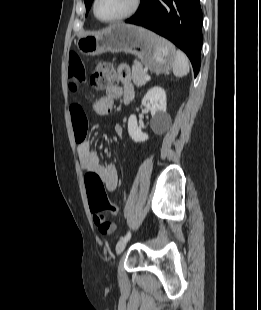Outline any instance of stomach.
I'll return each instance as SVG.
<instances>
[{
	"instance_id": "stomach-1",
	"label": "stomach",
	"mask_w": 261,
	"mask_h": 310,
	"mask_svg": "<svg viewBox=\"0 0 261 310\" xmlns=\"http://www.w3.org/2000/svg\"><path fill=\"white\" fill-rule=\"evenodd\" d=\"M78 50L88 56L104 52L129 53L154 73H166L174 64L176 51L167 40L135 25L113 24L106 29L77 40Z\"/></svg>"
}]
</instances>
